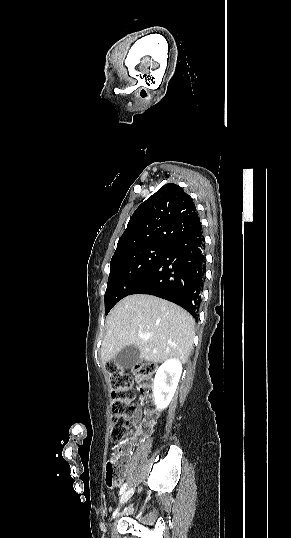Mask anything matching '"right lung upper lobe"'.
Masks as SVG:
<instances>
[{"mask_svg": "<svg viewBox=\"0 0 291 538\" xmlns=\"http://www.w3.org/2000/svg\"><path fill=\"white\" fill-rule=\"evenodd\" d=\"M200 227L192 198L182 187L166 184L135 210L113 257L150 245L172 246Z\"/></svg>", "mask_w": 291, "mask_h": 538, "instance_id": "obj_1", "label": "right lung upper lobe"}]
</instances>
